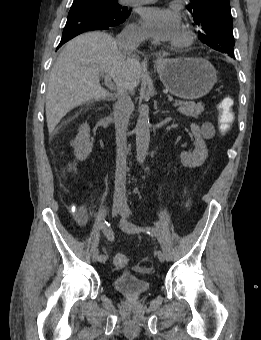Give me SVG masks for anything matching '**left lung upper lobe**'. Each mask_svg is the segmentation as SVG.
<instances>
[{
  "label": "left lung upper lobe",
  "instance_id": "1",
  "mask_svg": "<svg viewBox=\"0 0 261 340\" xmlns=\"http://www.w3.org/2000/svg\"><path fill=\"white\" fill-rule=\"evenodd\" d=\"M188 10L198 26L200 40L211 48L234 53L233 22L229 0H191Z\"/></svg>",
  "mask_w": 261,
  "mask_h": 340
}]
</instances>
